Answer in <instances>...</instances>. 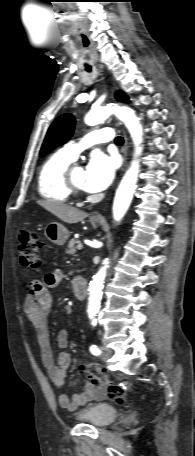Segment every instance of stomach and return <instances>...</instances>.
<instances>
[{"label": "stomach", "instance_id": "obj_1", "mask_svg": "<svg viewBox=\"0 0 195 456\" xmlns=\"http://www.w3.org/2000/svg\"><path fill=\"white\" fill-rule=\"evenodd\" d=\"M93 223H99V221H93ZM45 235L52 243L62 246L66 243L70 233L62 224L52 222L46 226Z\"/></svg>", "mask_w": 195, "mask_h": 456}]
</instances>
